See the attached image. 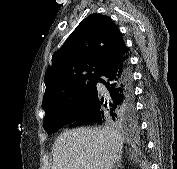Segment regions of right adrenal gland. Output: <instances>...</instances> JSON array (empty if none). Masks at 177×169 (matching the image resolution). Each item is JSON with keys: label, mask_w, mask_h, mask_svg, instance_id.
<instances>
[{"label": "right adrenal gland", "mask_w": 177, "mask_h": 169, "mask_svg": "<svg viewBox=\"0 0 177 169\" xmlns=\"http://www.w3.org/2000/svg\"><path fill=\"white\" fill-rule=\"evenodd\" d=\"M119 156L121 157V154H119ZM119 167H121V159L116 160L115 169H118Z\"/></svg>", "instance_id": "2a0ac1e0"}]
</instances>
